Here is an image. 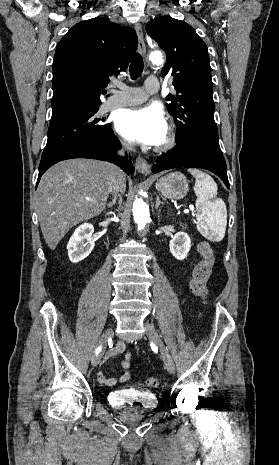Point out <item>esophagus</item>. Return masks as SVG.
<instances>
[{
  "instance_id": "34e87169",
  "label": "esophagus",
  "mask_w": 279,
  "mask_h": 465,
  "mask_svg": "<svg viewBox=\"0 0 279 465\" xmlns=\"http://www.w3.org/2000/svg\"><path fill=\"white\" fill-rule=\"evenodd\" d=\"M135 30H136V33H137V36H138V50L142 55L145 56V54H146V45H145V40H144V36H143L142 27H141V25L139 23L135 24ZM135 168L141 174L147 175V174L150 173V165L147 162V160L144 159L143 157H138L136 159Z\"/></svg>"
}]
</instances>
